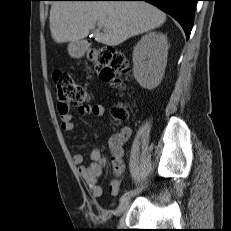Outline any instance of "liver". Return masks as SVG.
<instances>
[{"mask_svg":"<svg viewBox=\"0 0 231 231\" xmlns=\"http://www.w3.org/2000/svg\"><path fill=\"white\" fill-rule=\"evenodd\" d=\"M49 20L56 43L79 41L92 32L97 42L117 46L160 27L166 15L146 2L57 1L51 6ZM98 23L103 32L95 29Z\"/></svg>","mask_w":231,"mask_h":231,"instance_id":"6515ba94","label":"liver"}]
</instances>
